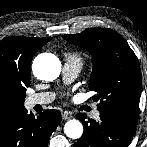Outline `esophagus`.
I'll return each mask as SVG.
<instances>
[{"instance_id":"1","label":"esophagus","mask_w":147,"mask_h":147,"mask_svg":"<svg viewBox=\"0 0 147 147\" xmlns=\"http://www.w3.org/2000/svg\"><path fill=\"white\" fill-rule=\"evenodd\" d=\"M72 117H73L72 114L67 111L62 114V119L64 120L71 119Z\"/></svg>"}]
</instances>
